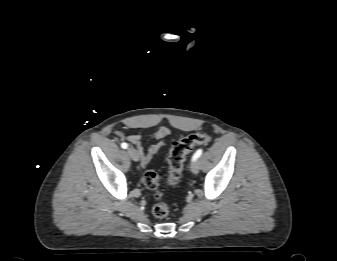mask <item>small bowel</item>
Segmentation results:
<instances>
[{"mask_svg": "<svg viewBox=\"0 0 337 261\" xmlns=\"http://www.w3.org/2000/svg\"><path fill=\"white\" fill-rule=\"evenodd\" d=\"M118 136L123 139L124 136L122 133L118 132ZM170 131L167 127H159L152 135L151 139L157 140L156 143H153L148 146V148H144L142 144V139L139 134H133L128 139L131 143H133L138 150L139 159L143 166H146L150 163V161L159 153L161 148L166 144V139L169 136Z\"/></svg>", "mask_w": 337, "mask_h": 261, "instance_id": "small-bowel-1", "label": "small bowel"}]
</instances>
